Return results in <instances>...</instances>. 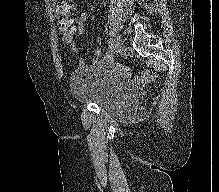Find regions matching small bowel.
Segmentation results:
<instances>
[{
    "instance_id": "small-bowel-1",
    "label": "small bowel",
    "mask_w": 219,
    "mask_h": 192,
    "mask_svg": "<svg viewBox=\"0 0 219 192\" xmlns=\"http://www.w3.org/2000/svg\"><path fill=\"white\" fill-rule=\"evenodd\" d=\"M75 10V7L72 5H68L66 2L61 8H56V17L59 21V28L64 33L63 40L65 43L70 47V49L74 52H78V45L73 40L74 35H83L85 32V24L88 18V13L86 11H82L78 16L76 17H70V13ZM64 23V24H62ZM96 43L101 44L102 38L96 37ZM95 56L94 64L95 65H101V55L102 50L100 48H97L93 52ZM81 64L85 63V58L81 57L80 60ZM141 80L146 81L152 78V72L147 71L144 72L141 75Z\"/></svg>"
}]
</instances>
